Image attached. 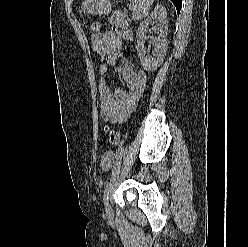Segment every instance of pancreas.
Masks as SVG:
<instances>
[{
  "mask_svg": "<svg viewBox=\"0 0 248 247\" xmlns=\"http://www.w3.org/2000/svg\"><path fill=\"white\" fill-rule=\"evenodd\" d=\"M110 22L118 27L126 28L128 26L129 19H127L124 15H118L115 18H112Z\"/></svg>",
  "mask_w": 248,
  "mask_h": 247,
  "instance_id": "1",
  "label": "pancreas"
}]
</instances>
